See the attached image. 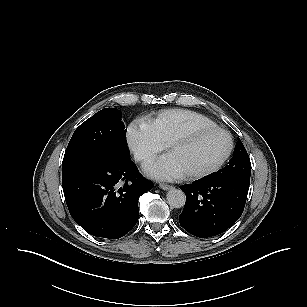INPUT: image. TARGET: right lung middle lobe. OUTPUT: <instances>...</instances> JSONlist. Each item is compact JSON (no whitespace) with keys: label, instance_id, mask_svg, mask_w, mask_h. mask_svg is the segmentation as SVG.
<instances>
[{"label":"right lung middle lobe","instance_id":"1","mask_svg":"<svg viewBox=\"0 0 307 307\" xmlns=\"http://www.w3.org/2000/svg\"><path fill=\"white\" fill-rule=\"evenodd\" d=\"M101 154L129 157L126 129L118 109H102L76 129L65 151L62 168Z\"/></svg>","mask_w":307,"mask_h":307}]
</instances>
